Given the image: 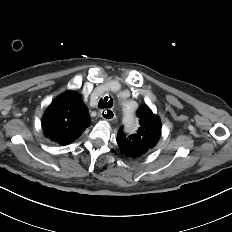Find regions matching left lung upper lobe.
Wrapping results in <instances>:
<instances>
[{"mask_svg": "<svg viewBox=\"0 0 232 232\" xmlns=\"http://www.w3.org/2000/svg\"><path fill=\"white\" fill-rule=\"evenodd\" d=\"M140 127L136 133L127 135L122 128L117 134L121 152L128 158L136 159L150 153L161 136V121L147 105L137 110Z\"/></svg>", "mask_w": 232, "mask_h": 232, "instance_id": "5c2ea615", "label": "left lung upper lobe"}]
</instances>
